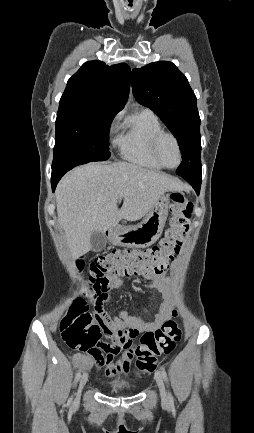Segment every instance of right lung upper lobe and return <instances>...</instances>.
I'll use <instances>...</instances> for the list:
<instances>
[{
  "instance_id": "obj_1",
  "label": "right lung upper lobe",
  "mask_w": 254,
  "mask_h": 433,
  "mask_svg": "<svg viewBox=\"0 0 254 433\" xmlns=\"http://www.w3.org/2000/svg\"><path fill=\"white\" fill-rule=\"evenodd\" d=\"M129 88L127 64L108 66L99 60L89 61L68 80L59 106L94 105L117 114L127 102Z\"/></svg>"
}]
</instances>
